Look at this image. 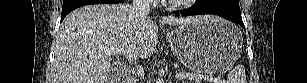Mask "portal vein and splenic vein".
I'll return each mask as SVG.
<instances>
[{
  "label": "portal vein and splenic vein",
  "instance_id": "1",
  "mask_svg": "<svg viewBox=\"0 0 307 83\" xmlns=\"http://www.w3.org/2000/svg\"><path fill=\"white\" fill-rule=\"evenodd\" d=\"M105 53L107 54V55H113V54H118L119 53V51L118 50H114V49H111V50H106L105 51ZM175 77L177 78V79H185V78H187L188 77V75L187 74H185V73H177L176 75H175ZM199 78L200 79H203V80H212V78H210V77H208V76H206V75H199Z\"/></svg>",
  "mask_w": 307,
  "mask_h": 83
}]
</instances>
